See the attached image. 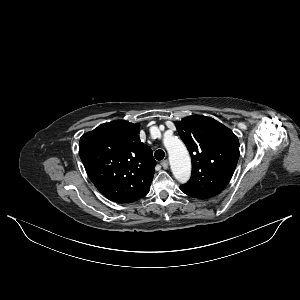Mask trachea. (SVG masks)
I'll return each instance as SVG.
<instances>
[{"mask_svg": "<svg viewBox=\"0 0 300 300\" xmlns=\"http://www.w3.org/2000/svg\"><path fill=\"white\" fill-rule=\"evenodd\" d=\"M154 157L159 161L163 160L165 157V152L163 150L159 149L154 153Z\"/></svg>", "mask_w": 300, "mask_h": 300, "instance_id": "1", "label": "trachea"}]
</instances>
